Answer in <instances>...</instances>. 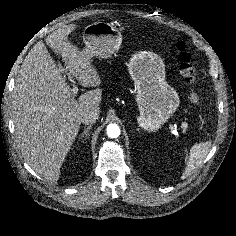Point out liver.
<instances>
[{
  "instance_id": "obj_1",
  "label": "liver",
  "mask_w": 236,
  "mask_h": 236,
  "mask_svg": "<svg viewBox=\"0 0 236 236\" xmlns=\"http://www.w3.org/2000/svg\"><path fill=\"white\" fill-rule=\"evenodd\" d=\"M75 25H67L46 37V43L60 55L66 70L83 87L96 88L76 100L72 90L39 41L25 57L12 94V115L18 147L25 161L46 181L55 184L60 168L80 129L81 115L100 112L101 79L82 51L68 35Z\"/></svg>"
}]
</instances>
